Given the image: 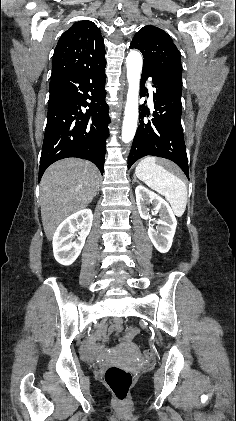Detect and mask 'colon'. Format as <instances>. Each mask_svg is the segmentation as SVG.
<instances>
[{"label":"colon","mask_w":236,"mask_h":421,"mask_svg":"<svg viewBox=\"0 0 236 421\" xmlns=\"http://www.w3.org/2000/svg\"><path fill=\"white\" fill-rule=\"evenodd\" d=\"M143 356L145 359H151L154 356V351L147 349L143 352ZM104 380L116 399L123 402L129 395L134 379L129 370L120 366H110L104 373Z\"/></svg>","instance_id":"obj_1"}]
</instances>
